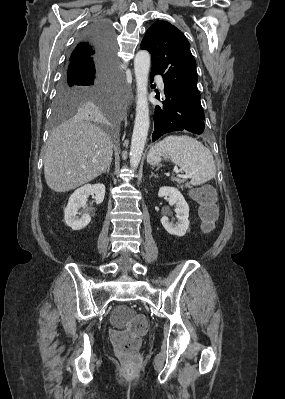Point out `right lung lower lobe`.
Listing matches in <instances>:
<instances>
[{"label":"right lung lower lobe","mask_w":285,"mask_h":399,"mask_svg":"<svg viewBox=\"0 0 285 399\" xmlns=\"http://www.w3.org/2000/svg\"><path fill=\"white\" fill-rule=\"evenodd\" d=\"M96 48L91 59L68 61L63 80L85 87L113 86L115 79V35L108 21L94 22L82 35Z\"/></svg>","instance_id":"right-lung-lower-lobe-1"}]
</instances>
